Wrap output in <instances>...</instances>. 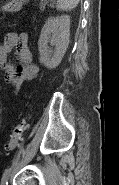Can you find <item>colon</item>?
Masks as SVG:
<instances>
[{"label": "colon", "mask_w": 119, "mask_h": 185, "mask_svg": "<svg viewBox=\"0 0 119 185\" xmlns=\"http://www.w3.org/2000/svg\"><path fill=\"white\" fill-rule=\"evenodd\" d=\"M27 126V120L23 119L14 127L11 135L9 136L5 144V149L7 152H12L19 146V143L23 137Z\"/></svg>", "instance_id": "colon-1"}]
</instances>
